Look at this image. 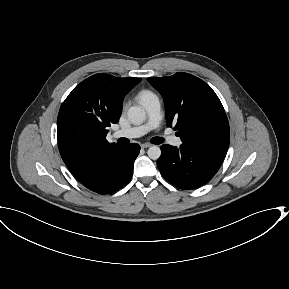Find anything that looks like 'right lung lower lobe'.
<instances>
[{
    "instance_id": "obj_1",
    "label": "right lung lower lobe",
    "mask_w": 289,
    "mask_h": 289,
    "mask_svg": "<svg viewBox=\"0 0 289 289\" xmlns=\"http://www.w3.org/2000/svg\"><path fill=\"white\" fill-rule=\"evenodd\" d=\"M139 151L140 146L135 143L120 146L102 159L90 175L79 181L99 194L115 192L131 180L133 164Z\"/></svg>"
}]
</instances>
